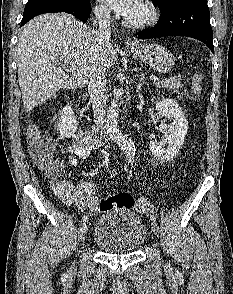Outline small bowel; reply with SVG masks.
Segmentation results:
<instances>
[{"instance_id":"1","label":"small bowel","mask_w":233,"mask_h":294,"mask_svg":"<svg viewBox=\"0 0 233 294\" xmlns=\"http://www.w3.org/2000/svg\"><path fill=\"white\" fill-rule=\"evenodd\" d=\"M91 147L86 145L77 135L75 141L68 146L67 152L71 164H76L78 158L85 159L90 155ZM56 196L67 205H73L79 210L91 208V201L99 198L94 196L95 185L89 181L74 185L68 180H58L53 185Z\"/></svg>"}]
</instances>
